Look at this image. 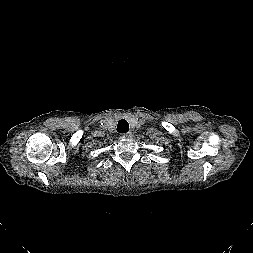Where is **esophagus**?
Instances as JSON below:
<instances>
[{"instance_id":"1","label":"esophagus","mask_w":253,"mask_h":253,"mask_svg":"<svg viewBox=\"0 0 253 253\" xmlns=\"http://www.w3.org/2000/svg\"><path fill=\"white\" fill-rule=\"evenodd\" d=\"M121 137L125 138V139L131 138L132 137V133L128 132V133L121 134Z\"/></svg>"}]
</instances>
